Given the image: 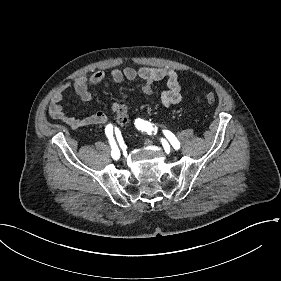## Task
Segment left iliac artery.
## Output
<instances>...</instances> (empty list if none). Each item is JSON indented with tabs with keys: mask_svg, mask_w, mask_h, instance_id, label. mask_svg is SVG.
Returning <instances> with one entry per match:
<instances>
[{
	"mask_svg": "<svg viewBox=\"0 0 281 281\" xmlns=\"http://www.w3.org/2000/svg\"><path fill=\"white\" fill-rule=\"evenodd\" d=\"M135 126L137 127V129L141 130V131H145L148 134H152V133H156L157 129L153 127V125L148 122L145 121L143 119H136L135 120ZM164 135L166 136V138L170 141L171 145L178 150L180 148V143L177 140V138L168 130H164Z\"/></svg>",
	"mask_w": 281,
	"mask_h": 281,
	"instance_id": "obj_1",
	"label": "left iliac artery"
}]
</instances>
